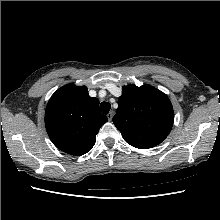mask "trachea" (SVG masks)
Listing matches in <instances>:
<instances>
[{
    "label": "trachea",
    "mask_w": 220,
    "mask_h": 220,
    "mask_svg": "<svg viewBox=\"0 0 220 220\" xmlns=\"http://www.w3.org/2000/svg\"><path fill=\"white\" fill-rule=\"evenodd\" d=\"M100 108L102 113L108 114L109 110L111 109V104L109 102H102L100 104Z\"/></svg>",
    "instance_id": "obj_1"
}]
</instances>
